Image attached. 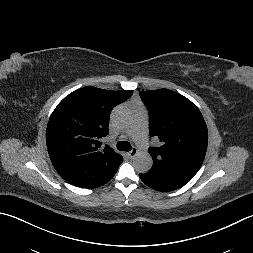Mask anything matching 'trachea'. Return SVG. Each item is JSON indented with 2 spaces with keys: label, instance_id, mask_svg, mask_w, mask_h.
<instances>
[{
  "label": "trachea",
  "instance_id": "trachea-1",
  "mask_svg": "<svg viewBox=\"0 0 253 253\" xmlns=\"http://www.w3.org/2000/svg\"><path fill=\"white\" fill-rule=\"evenodd\" d=\"M117 149L120 151H130L131 150V144L126 141H119L117 143Z\"/></svg>",
  "mask_w": 253,
  "mask_h": 253
}]
</instances>
